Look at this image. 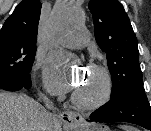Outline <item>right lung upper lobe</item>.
I'll return each instance as SVG.
<instances>
[{
    "label": "right lung upper lobe",
    "mask_w": 151,
    "mask_h": 131,
    "mask_svg": "<svg viewBox=\"0 0 151 131\" xmlns=\"http://www.w3.org/2000/svg\"><path fill=\"white\" fill-rule=\"evenodd\" d=\"M40 12L39 0L20 2L0 30V48L9 43H20L36 50Z\"/></svg>",
    "instance_id": "right-lung-upper-lobe-1"
}]
</instances>
